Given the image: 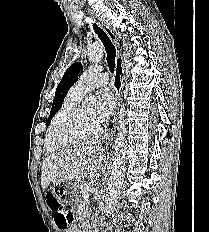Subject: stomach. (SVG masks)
<instances>
[{
    "mask_svg": "<svg viewBox=\"0 0 209 232\" xmlns=\"http://www.w3.org/2000/svg\"><path fill=\"white\" fill-rule=\"evenodd\" d=\"M54 190L59 203H76L81 195V182H73L72 178L65 177L56 182Z\"/></svg>",
    "mask_w": 209,
    "mask_h": 232,
    "instance_id": "1",
    "label": "stomach"
}]
</instances>
